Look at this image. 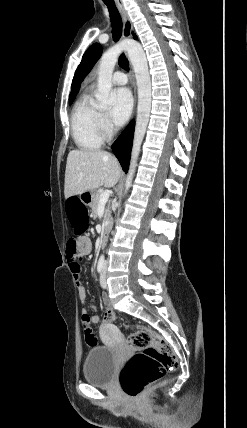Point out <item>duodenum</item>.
<instances>
[{"mask_svg":"<svg viewBox=\"0 0 247 428\" xmlns=\"http://www.w3.org/2000/svg\"><path fill=\"white\" fill-rule=\"evenodd\" d=\"M110 230V223L106 222L103 226L102 233H101V245L103 246L107 240L108 234Z\"/></svg>","mask_w":247,"mask_h":428,"instance_id":"obj_1","label":"duodenum"}]
</instances>
